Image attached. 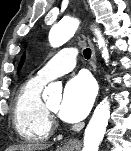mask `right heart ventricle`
<instances>
[{
    "mask_svg": "<svg viewBox=\"0 0 131 151\" xmlns=\"http://www.w3.org/2000/svg\"><path fill=\"white\" fill-rule=\"evenodd\" d=\"M45 84L33 77L21 86L15 98L13 123L18 135L28 142H41L51 135L52 124L41 98Z\"/></svg>",
    "mask_w": 131,
    "mask_h": 151,
    "instance_id": "right-heart-ventricle-1",
    "label": "right heart ventricle"
}]
</instances>
